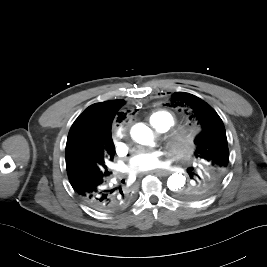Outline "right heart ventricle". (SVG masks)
Segmentation results:
<instances>
[{
	"instance_id": "e07e8e85",
	"label": "right heart ventricle",
	"mask_w": 267,
	"mask_h": 267,
	"mask_svg": "<svg viewBox=\"0 0 267 267\" xmlns=\"http://www.w3.org/2000/svg\"><path fill=\"white\" fill-rule=\"evenodd\" d=\"M149 123L158 131L165 132L172 128L176 123V117L173 113L166 110L153 112L149 118Z\"/></svg>"
}]
</instances>
